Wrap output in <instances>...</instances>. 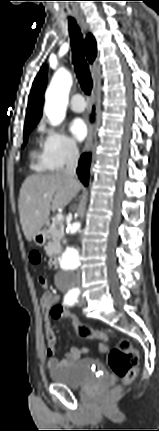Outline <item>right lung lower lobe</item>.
I'll return each instance as SVG.
<instances>
[{
    "label": "right lung lower lobe",
    "instance_id": "right-lung-lower-lobe-1",
    "mask_svg": "<svg viewBox=\"0 0 159 431\" xmlns=\"http://www.w3.org/2000/svg\"><path fill=\"white\" fill-rule=\"evenodd\" d=\"M89 164H90V153L83 154L79 161L77 173H78L79 179L85 186L88 185V181H89Z\"/></svg>",
    "mask_w": 159,
    "mask_h": 431
}]
</instances>
